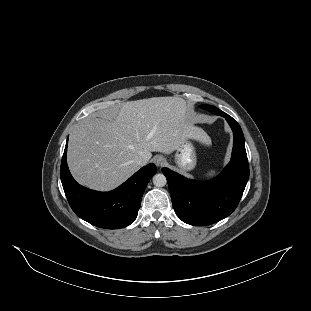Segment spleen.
<instances>
[{
	"label": "spleen",
	"mask_w": 311,
	"mask_h": 311,
	"mask_svg": "<svg viewBox=\"0 0 311 311\" xmlns=\"http://www.w3.org/2000/svg\"><path fill=\"white\" fill-rule=\"evenodd\" d=\"M216 174L214 170H211L207 173V177H213Z\"/></svg>",
	"instance_id": "3e777b00"
}]
</instances>
